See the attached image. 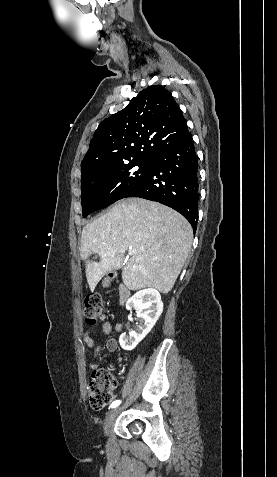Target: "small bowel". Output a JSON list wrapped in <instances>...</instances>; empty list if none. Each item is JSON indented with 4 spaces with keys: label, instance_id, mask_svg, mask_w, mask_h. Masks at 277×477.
Returning a JSON list of instances; mask_svg holds the SVG:
<instances>
[{
    "label": "small bowel",
    "instance_id": "obj_1",
    "mask_svg": "<svg viewBox=\"0 0 277 477\" xmlns=\"http://www.w3.org/2000/svg\"><path fill=\"white\" fill-rule=\"evenodd\" d=\"M121 330H122V325L120 323H116L114 326L109 321H106L105 323H103L102 332H103V335L106 337L105 347L108 352L112 353L118 349V342L116 338L108 337V336L111 334L112 331L119 333L121 332ZM83 340L85 344L87 345V347L93 352V355L90 359V364L91 366H95L96 361L102 349L101 345L95 342V340L92 338L90 330L84 333ZM101 363L103 364L106 363V360L105 359L102 360Z\"/></svg>",
    "mask_w": 277,
    "mask_h": 477
}]
</instances>
